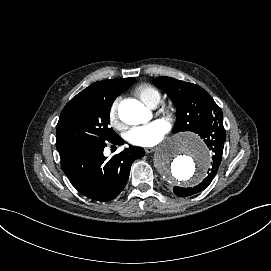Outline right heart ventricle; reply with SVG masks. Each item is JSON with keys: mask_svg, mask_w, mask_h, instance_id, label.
Instances as JSON below:
<instances>
[{"mask_svg": "<svg viewBox=\"0 0 271 271\" xmlns=\"http://www.w3.org/2000/svg\"><path fill=\"white\" fill-rule=\"evenodd\" d=\"M134 93L148 106H152V104L156 102H160L161 93L160 91L149 83H143L138 85Z\"/></svg>", "mask_w": 271, "mask_h": 271, "instance_id": "right-heart-ventricle-1", "label": "right heart ventricle"}]
</instances>
